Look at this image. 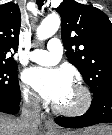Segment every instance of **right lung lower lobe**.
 Wrapping results in <instances>:
<instances>
[{"label": "right lung lower lobe", "mask_w": 112, "mask_h": 135, "mask_svg": "<svg viewBox=\"0 0 112 135\" xmlns=\"http://www.w3.org/2000/svg\"><path fill=\"white\" fill-rule=\"evenodd\" d=\"M21 96L19 97H0V112L17 114L21 108Z\"/></svg>", "instance_id": "98d812e1"}]
</instances>
